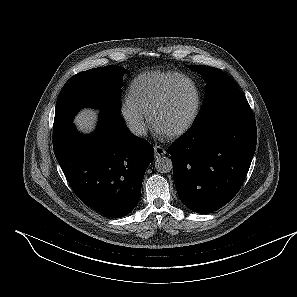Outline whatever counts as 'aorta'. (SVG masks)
<instances>
[{"instance_id":"aorta-1","label":"aorta","mask_w":297,"mask_h":297,"mask_svg":"<svg viewBox=\"0 0 297 297\" xmlns=\"http://www.w3.org/2000/svg\"><path fill=\"white\" fill-rule=\"evenodd\" d=\"M172 167V161L168 157L160 156L155 160V169L160 173H168Z\"/></svg>"}]
</instances>
